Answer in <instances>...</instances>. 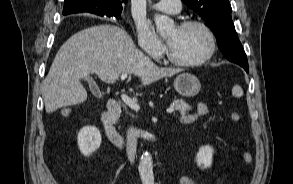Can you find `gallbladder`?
<instances>
[{"label": "gallbladder", "instance_id": "gallbladder-1", "mask_svg": "<svg viewBox=\"0 0 293 184\" xmlns=\"http://www.w3.org/2000/svg\"><path fill=\"white\" fill-rule=\"evenodd\" d=\"M85 79H86L88 82H90V81L92 80V78H91L90 76H87Z\"/></svg>", "mask_w": 293, "mask_h": 184}]
</instances>
